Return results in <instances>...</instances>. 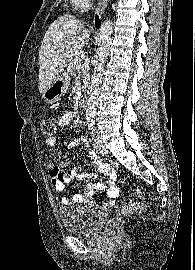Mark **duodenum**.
Returning a JSON list of instances; mask_svg holds the SVG:
<instances>
[{
	"instance_id": "1",
	"label": "duodenum",
	"mask_w": 195,
	"mask_h": 270,
	"mask_svg": "<svg viewBox=\"0 0 195 270\" xmlns=\"http://www.w3.org/2000/svg\"><path fill=\"white\" fill-rule=\"evenodd\" d=\"M87 103V94H83L81 97V104L86 105Z\"/></svg>"
}]
</instances>
